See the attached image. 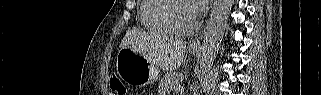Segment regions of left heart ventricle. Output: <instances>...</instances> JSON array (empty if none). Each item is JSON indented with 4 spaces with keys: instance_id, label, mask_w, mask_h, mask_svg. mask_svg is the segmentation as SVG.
I'll list each match as a JSON object with an SVG mask.
<instances>
[{
    "instance_id": "obj_1",
    "label": "left heart ventricle",
    "mask_w": 321,
    "mask_h": 95,
    "mask_svg": "<svg viewBox=\"0 0 321 95\" xmlns=\"http://www.w3.org/2000/svg\"><path fill=\"white\" fill-rule=\"evenodd\" d=\"M173 19L177 26L183 29L190 28L195 20V16L185 4H179L175 7L173 12Z\"/></svg>"
}]
</instances>
